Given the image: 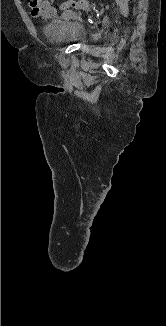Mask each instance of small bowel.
I'll return each mask as SVG.
<instances>
[{"mask_svg":"<svg viewBox=\"0 0 166 326\" xmlns=\"http://www.w3.org/2000/svg\"><path fill=\"white\" fill-rule=\"evenodd\" d=\"M30 14L36 18L48 19L56 15L52 0H29Z\"/></svg>","mask_w":166,"mask_h":326,"instance_id":"c3829d8e","label":"small bowel"}]
</instances>
